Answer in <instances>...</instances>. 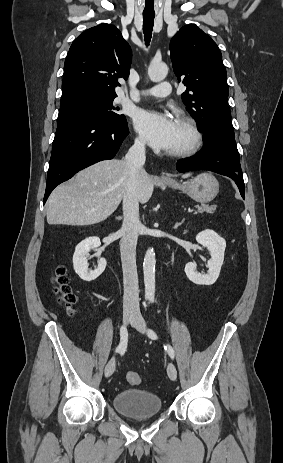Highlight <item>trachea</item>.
Returning a JSON list of instances; mask_svg holds the SVG:
<instances>
[{
    "label": "trachea",
    "instance_id": "trachea-1",
    "mask_svg": "<svg viewBox=\"0 0 283 463\" xmlns=\"http://www.w3.org/2000/svg\"><path fill=\"white\" fill-rule=\"evenodd\" d=\"M154 17L155 15H144L143 14V33H144L146 46L149 45L151 37H152Z\"/></svg>",
    "mask_w": 283,
    "mask_h": 463
}]
</instances>
